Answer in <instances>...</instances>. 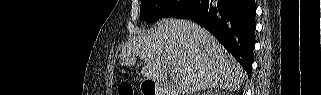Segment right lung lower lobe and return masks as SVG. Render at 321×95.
<instances>
[{
  "mask_svg": "<svg viewBox=\"0 0 321 95\" xmlns=\"http://www.w3.org/2000/svg\"><path fill=\"white\" fill-rule=\"evenodd\" d=\"M255 0H205L188 18L212 33L251 76L255 45Z\"/></svg>",
  "mask_w": 321,
  "mask_h": 95,
  "instance_id": "obj_1",
  "label": "right lung lower lobe"
}]
</instances>
